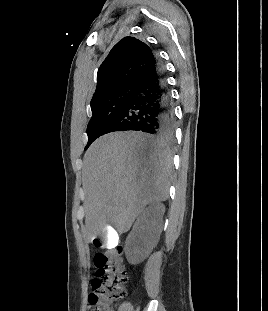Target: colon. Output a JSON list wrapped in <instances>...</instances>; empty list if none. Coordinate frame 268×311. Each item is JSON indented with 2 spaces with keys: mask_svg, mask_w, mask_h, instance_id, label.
I'll use <instances>...</instances> for the list:
<instances>
[{
  "mask_svg": "<svg viewBox=\"0 0 268 311\" xmlns=\"http://www.w3.org/2000/svg\"><path fill=\"white\" fill-rule=\"evenodd\" d=\"M94 244L98 248L94 255L97 277L92 282L89 301L93 311H111V303L124 295L128 281L122 248L105 249L99 240H95Z\"/></svg>",
  "mask_w": 268,
  "mask_h": 311,
  "instance_id": "5ec220e1",
  "label": "colon"
}]
</instances>
